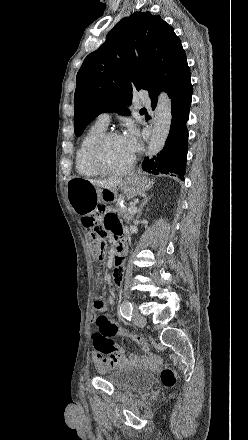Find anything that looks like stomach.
<instances>
[{"label":"stomach","instance_id":"0dacf381","mask_svg":"<svg viewBox=\"0 0 248 440\" xmlns=\"http://www.w3.org/2000/svg\"><path fill=\"white\" fill-rule=\"evenodd\" d=\"M150 187L151 182L140 175H131L113 188H99L89 180L74 177L67 182V196L73 210L82 214L92 209L97 202L113 203L118 198H133Z\"/></svg>","mask_w":248,"mask_h":440}]
</instances>
